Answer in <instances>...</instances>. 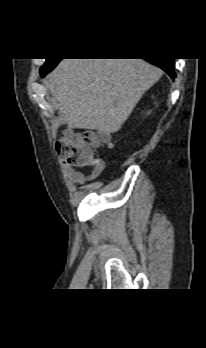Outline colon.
<instances>
[{
  "mask_svg": "<svg viewBox=\"0 0 206 348\" xmlns=\"http://www.w3.org/2000/svg\"><path fill=\"white\" fill-rule=\"evenodd\" d=\"M109 141L106 132L69 131L56 144L57 154L72 167H82L93 163L94 150Z\"/></svg>",
  "mask_w": 206,
  "mask_h": 348,
  "instance_id": "obj_1",
  "label": "colon"
}]
</instances>
